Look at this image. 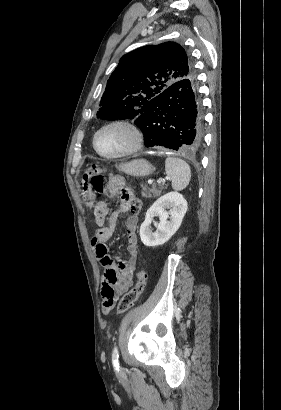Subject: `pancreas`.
Masks as SVG:
<instances>
[{"label":"pancreas","instance_id":"pancreas-1","mask_svg":"<svg viewBox=\"0 0 281 410\" xmlns=\"http://www.w3.org/2000/svg\"><path fill=\"white\" fill-rule=\"evenodd\" d=\"M162 188L153 186L152 188H148L147 186H143L142 188V196L145 198H151L152 196L157 197L161 194Z\"/></svg>","mask_w":281,"mask_h":410}]
</instances>
